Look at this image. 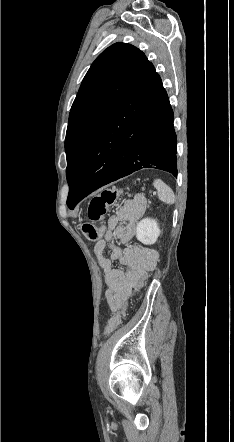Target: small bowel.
<instances>
[{
  "label": "small bowel",
  "mask_w": 234,
  "mask_h": 442,
  "mask_svg": "<svg viewBox=\"0 0 234 442\" xmlns=\"http://www.w3.org/2000/svg\"><path fill=\"white\" fill-rule=\"evenodd\" d=\"M145 210L146 200L143 196H136L124 202L109 218L104 238L93 248L104 272L106 299L112 312L124 306L141 276L152 271L157 264L158 256L154 250L139 246L122 248L113 243L117 240L122 246L128 245L134 235L135 223ZM107 245L111 251L105 256L104 250ZM116 260L127 267L126 271L114 268L113 262Z\"/></svg>",
  "instance_id": "small-bowel-1"
}]
</instances>
